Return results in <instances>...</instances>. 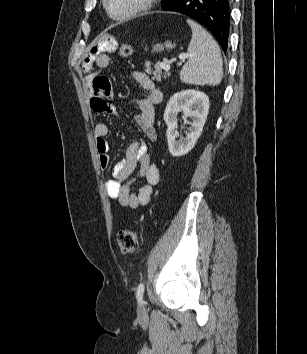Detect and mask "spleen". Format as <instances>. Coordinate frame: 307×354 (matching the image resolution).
<instances>
[{"label": "spleen", "mask_w": 307, "mask_h": 354, "mask_svg": "<svg viewBox=\"0 0 307 354\" xmlns=\"http://www.w3.org/2000/svg\"><path fill=\"white\" fill-rule=\"evenodd\" d=\"M192 29L188 46L189 59L180 72V79L186 84L219 85L222 76V57L213 37L199 24L187 20Z\"/></svg>", "instance_id": "obj_1"}]
</instances>
